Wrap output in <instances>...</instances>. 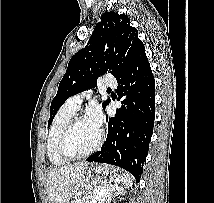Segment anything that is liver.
Returning a JSON list of instances; mask_svg holds the SVG:
<instances>
[{
	"mask_svg": "<svg viewBox=\"0 0 214 203\" xmlns=\"http://www.w3.org/2000/svg\"><path fill=\"white\" fill-rule=\"evenodd\" d=\"M87 162L53 167L47 174V192L50 203H69L83 183Z\"/></svg>",
	"mask_w": 214,
	"mask_h": 203,
	"instance_id": "liver-1",
	"label": "liver"
}]
</instances>
